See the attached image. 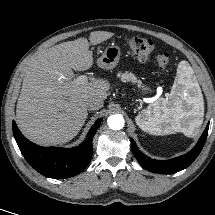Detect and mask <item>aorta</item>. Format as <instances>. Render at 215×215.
Segmentation results:
<instances>
[{"instance_id": "aorta-1", "label": "aorta", "mask_w": 215, "mask_h": 215, "mask_svg": "<svg viewBox=\"0 0 215 215\" xmlns=\"http://www.w3.org/2000/svg\"><path fill=\"white\" fill-rule=\"evenodd\" d=\"M108 126L113 130H120L124 127V118L122 115H111L107 120Z\"/></svg>"}]
</instances>
